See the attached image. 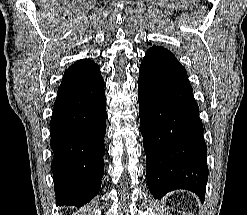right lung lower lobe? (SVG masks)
I'll use <instances>...</instances> for the list:
<instances>
[{"label":"right lung lower lobe","instance_id":"1","mask_svg":"<svg viewBox=\"0 0 247 215\" xmlns=\"http://www.w3.org/2000/svg\"><path fill=\"white\" fill-rule=\"evenodd\" d=\"M106 97L99 66L81 59L64 73L50 121L57 205L81 207L100 190Z\"/></svg>","mask_w":247,"mask_h":215}]
</instances>
